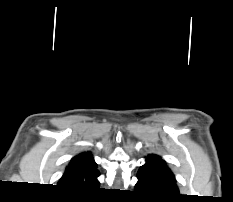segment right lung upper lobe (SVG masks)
<instances>
[{
    "label": "right lung upper lobe",
    "mask_w": 233,
    "mask_h": 202,
    "mask_svg": "<svg viewBox=\"0 0 233 202\" xmlns=\"http://www.w3.org/2000/svg\"><path fill=\"white\" fill-rule=\"evenodd\" d=\"M98 176L92 154L83 152L71 159L58 186L74 193H86L98 187Z\"/></svg>",
    "instance_id": "1"
}]
</instances>
